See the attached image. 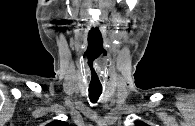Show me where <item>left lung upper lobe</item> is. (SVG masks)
<instances>
[{
	"label": "left lung upper lobe",
	"instance_id": "obj_1",
	"mask_svg": "<svg viewBox=\"0 0 195 126\" xmlns=\"http://www.w3.org/2000/svg\"><path fill=\"white\" fill-rule=\"evenodd\" d=\"M135 124H136V126H147L145 123L140 122V121L135 122Z\"/></svg>",
	"mask_w": 195,
	"mask_h": 126
}]
</instances>
